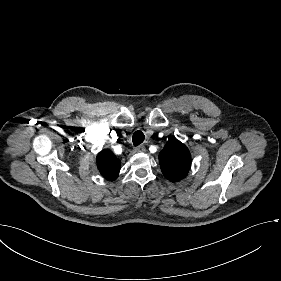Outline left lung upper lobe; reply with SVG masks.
I'll return each instance as SVG.
<instances>
[{
  "label": "left lung upper lobe",
  "mask_w": 281,
  "mask_h": 281,
  "mask_svg": "<svg viewBox=\"0 0 281 281\" xmlns=\"http://www.w3.org/2000/svg\"><path fill=\"white\" fill-rule=\"evenodd\" d=\"M159 162L164 176L176 182L187 175L191 166V155L183 143L171 140L160 152Z\"/></svg>",
  "instance_id": "1"
}]
</instances>
